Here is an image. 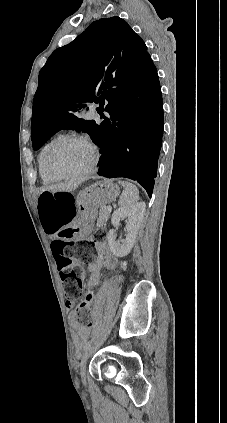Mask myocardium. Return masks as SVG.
I'll list each match as a JSON object with an SVG mask.
<instances>
[{"mask_svg":"<svg viewBox=\"0 0 227 423\" xmlns=\"http://www.w3.org/2000/svg\"><path fill=\"white\" fill-rule=\"evenodd\" d=\"M73 142L83 143L87 145L88 147H90V149L93 152V159L90 166L87 169H85L83 172H80L77 174H72V173H68L64 171L63 169L58 167L56 163L54 162V157L58 153V151L61 150L65 145L69 143H73ZM99 157H100V154H99L98 148L87 137L83 135L71 134V135L63 136L58 141H56L53 145L50 146V148L46 151V154H45V166L51 174H53L54 176L60 179L77 181V180L84 179L90 174L95 172L99 162Z\"/></svg>","mask_w":227,"mask_h":423,"instance_id":"obj_1","label":"myocardium"}]
</instances>
